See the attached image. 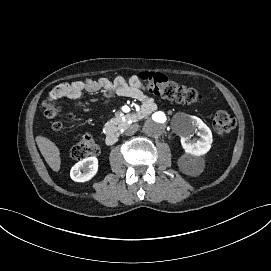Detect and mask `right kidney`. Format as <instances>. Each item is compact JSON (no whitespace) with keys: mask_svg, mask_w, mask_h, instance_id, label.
<instances>
[{"mask_svg":"<svg viewBox=\"0 0 271 271\" xmlns=\"http://www.w3.org/2000/svg\"><path fill=\"white\" fill-rule=\"evenodd\" d=\"M97 171V159L85 158L77 162L70 170V177L74 181L84 182L91 179Z\"/></svg>","mask_w":271,"mask_h":271,"instance_id":"obj_1","label":"right kidney"}]
</instances>
